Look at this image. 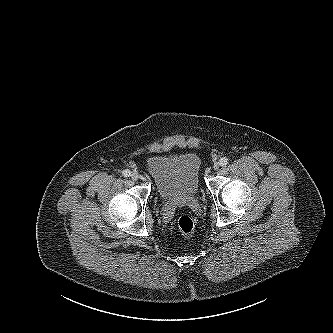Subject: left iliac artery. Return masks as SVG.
Listing matches in <instances>:
<instances>
[{"instance_id":"1","label":"left iliac artery","mask_w":333,"mask_h":333,"mask_svg":"<svg viewBox=\"0 0 333 333\" xmlns=\"http://www.w3.org/2000/svg\"><path fill=\"white\" fill-rule=\"evenodd\" d=\"M228 164V158L226 157H223L220 159V165L221 166H224V165H227Z\"/></svg>"}]
</instances>
